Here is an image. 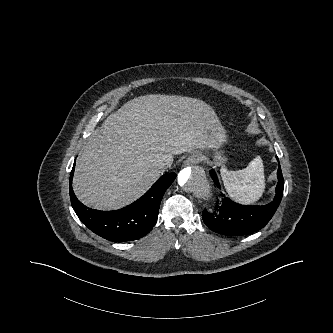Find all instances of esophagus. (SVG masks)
<instances>
[{"instance_id":"1","label":"esophagus","mask_w":333,"mask_h":333,"mask_svg":"<svg viewBox=\"0 0 333 333\" xmlns=\"http://www.w3.org/2000/svg\"><path fill=\"white\" fill-rule=\"evenodd\" d=\"M200 161H201L200 154L195 152V153H192L190 156H188V158L185 160L184 164L190 166V165L197 164Z\"/></svg>"}]
</instances>
